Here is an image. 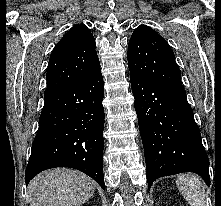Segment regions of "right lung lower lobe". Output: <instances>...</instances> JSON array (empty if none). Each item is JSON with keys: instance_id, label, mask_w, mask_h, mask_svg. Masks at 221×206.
Instances as JSON below:
<instances>
[{"instance_id": "1", "label": "right lung lower lobe", "mask_w": 221, "mask_h": 206, "mask_svg": "<svg viewBox=\"0 0 221 206\" xmlns=\"http://www.w3.org/2000/svg\"><path fill=\"white\" fill-rule=\"evenodd\" d=\"M104 83L101 69L44 95L39 129L25 171L26 185L54 167L82 171L105 189L103 176Z\"/></svg>"}]
</instances>
